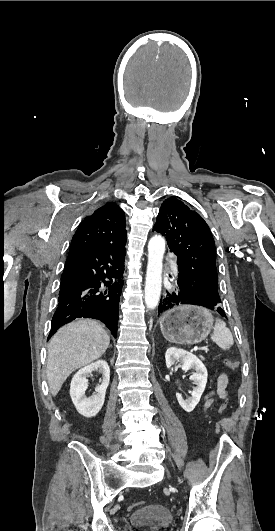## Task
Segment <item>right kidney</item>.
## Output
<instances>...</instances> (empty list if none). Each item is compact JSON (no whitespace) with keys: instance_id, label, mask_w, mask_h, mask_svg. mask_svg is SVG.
<instances>
[{"instance_id":"ca27d5eb","label":"right kidney","mask_w":275,"mask_h":531,"mask_svg":"<svg viewBox=\"0 0 275 531\" xmlns=\"http://www.w3.org/2000/svg\"><path fill=\"white\" fill-rule=\"evenodd\" d=\"M92 371H100L103 373V381L101 385L96 387V395L92 397H86L85 391L88 387L89 373ZM110 381V369L108 363L100 359L96 363H91L88 367L79 369L78 373L74 375L70 385V397L73 405L76 407V411L83 415V417H95L102 409L105 401L106 389Z\"/></svg>"}]
</instances>
